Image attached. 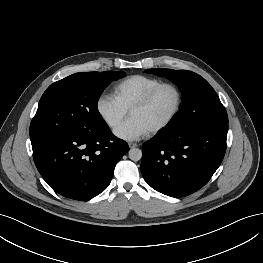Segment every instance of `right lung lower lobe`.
Returning a JSON list of instances; mask_svg holds the SVG:
<instances>
[{
  "mask_svg": "<svg viewBox=\"0 0 263 263\" xmlns=\"http://www.w3.org/2000/svg\"><path fill=\"white\" fill-rule=\"evenodd\" d=\"M32 149L35 165L48 185L64 197L83 201L108 187L129 147L105 124L56 136Z\"/></svg>",
  "mask_w": 263,
  "mask_h": 263,
  "instance_id": "obj_1",
  "label": "right lung lower lobe"
}]
</instances>
